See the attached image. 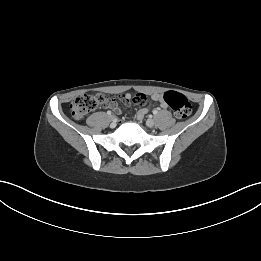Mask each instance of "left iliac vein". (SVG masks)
I'll return each instance as SVG.
<instances>
[{
	"label": "left iliac vein",
	"instance_id": "4c4485c4",
	"mask_svg": "<svg viewBox=\"0 0 261 261\" xmlns=\"http://www.w3.org/2000/svg\"><path fill=\"white\" fill-rule=\"evenodd\" d=\"M146 125H147L148 127H153V126L155 125L154 119H148V120L146 121Z\"/></svg>",
	"mask_w": 261,
	"mask_h": 261
}]
</instances>
